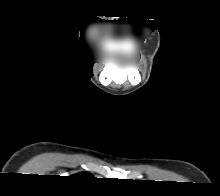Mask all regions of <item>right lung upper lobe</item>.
Returning a JSON list of instances; mask_svg holds the SVG:
<instances>
[{"label": "right lung upper lobe", "mask_w": 220, "mask_h": 196, "mask_svg": "<svg viewBox=\"0 0 220 196\" xmlns=\"http://www.w3.org/2000/svg\"><path fill=\"white\" fill-rule=\"evenodd\" d=\"M74 177H78V178H88V177H92L91 174L87 173V172H82L76 175H73Z\"/></svg>", "instance_id": "right-lung-upper-lobe-1"}]
</instances>
